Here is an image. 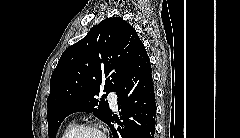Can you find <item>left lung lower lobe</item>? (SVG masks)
<instances>
[{
	"label": "left lung lower lobe",
	"instance_id": "obj_1",
	"mask_svg": "<svg viewBox=\"0 0 240 138\" xmlns=\"http://www.w3.org/2000/svg\"><path fill=\"white\" fill-rule=\"evenodd\" d=\"M116 92L122 122H117L120 126L116 130L114 116L107 121L113 138H153L156 103L151 64L144 45Z\"/></svg>",
	"mask_w": 240,
	"mask_h": 138
}]
</instances>
